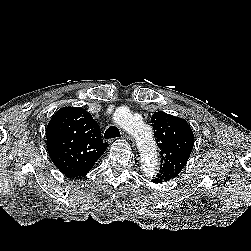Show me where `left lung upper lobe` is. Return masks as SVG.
Returning a JSON list of instances; mask_svg holds the SVG:
<instances>
[{
  "label": "left lung upper lobe",
  "instance_id": "5c2ea615",
  "mask_svg": "<svg viewBox=\"0 0 251 251\" xmlns=\"http://www.w3.org/2000/svg\"><path fill=\"white\" fill-rule=\"evenodd\" d=\"M151 122L161 157L156 179L167 182L186 165L194 145V135L186 120L165 112H155Z\"/></svg>",
  "mask_w": 251,
  "mask_h": 251
}]
</instances>
